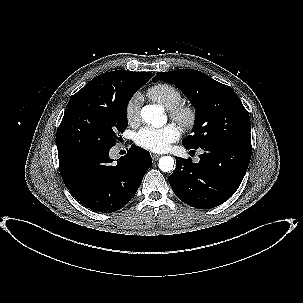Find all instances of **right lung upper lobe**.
Returning <instances> with one entry per match:
<instances>
[{
  "instance_id": "1",
  "label": "right lung upper lobe",
  "mask_w": 303,
  "mask_h": 303,
  "mask_svg": "<svg viewBox=\"0 0 303 303\" xmlns=\"http://www.w3.org/2000/svg\"><path fill=\"white\" fill-rule=\"evenodd\" d=\"M151 77L149 72L126 70L106 72L92 79L74 95H86L103 101H117L127 87L148 82Z\"/></svg>"
}]
</instances>
